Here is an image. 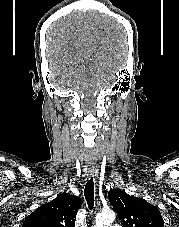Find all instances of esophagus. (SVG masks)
I'll list each match as a JSON object with an SVG mask.
<instances>
[{
  "instance_id": "34e87169",
  "label": "esophagus",
  "mask_w": 179,
  "mask_h": 227,
  "mask_svg": "<svg viewBox=\"0 0 179 227\" xmlns=\"http://www.w3.org/2000/svg\"><path fill=\"white\" fill-rule=\"evenodd\" d=\"M93 173H94V168L93 167H88L87 176L89 178H91L93 176Z\"/></svg>"
}]
</instances>
